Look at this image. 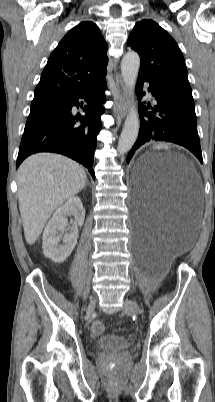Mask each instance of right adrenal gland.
<instances>
[{
    "label": "right adrenal gland",
    "mask_w": 215,
    "mask_h": 402,
    "mask_svg": "<svg viewBox=\"0 0 215 402\" xmlns=\"http://www.w3.org/2000/svg\"><path fill=\"white\" fill-rule=\"evenodd\" d=\"M86 185H89V182H87ZM86 185H85V187H86Z\"/></svg>",
    "instance_id": "obj_1"
}]
</instances>
